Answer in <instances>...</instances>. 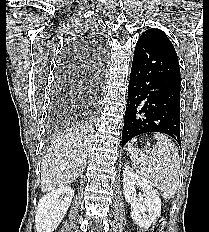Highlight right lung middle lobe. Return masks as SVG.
<instances>
[{"label":"right lung middle lobe","mask_w":209,"mask_h":232,"mask_svg":"<svg viewBox=\"0 0 209 232\" xmlns=\"http://www.w3.org/2000/svg\"><path fill=\"white\" fill-rule=\"evenodd\" d=\"M58 107V106H57ZM58 109V108H57ZM60 109V108H59ZM60 113V112H59ZM65 121V116L63 114H58L54 117L53 119V123L55 125H60L61 123H63Z\"/></svg>","instance_id":"right-lung-middle-lobe-1"}]
</instances>
